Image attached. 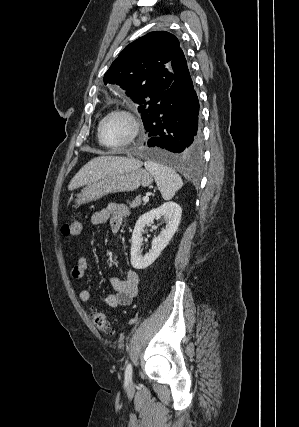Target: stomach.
Returning a JSON list of instances; mask_svg holds the SVG:
<instances>
[{
  "mask_svg": "<svg viewBox=\"0 0 299 427\" xmlns=\"http://www.w3.org/2000/svg\"><path fill=\"white\" fill-rule=\"evenodd\" d=\"M152 182L151 174L140 167L109 175L87 184L76 195L73 207L77 208L82 204L99 200L109 194L134 191L140 186L148 187Z\"/></svg>",
  "mask_w": 299,
  "mask_h": 427,
  "instance_id": "obj_1",
  "label": "stomach"
}]
</instances>
